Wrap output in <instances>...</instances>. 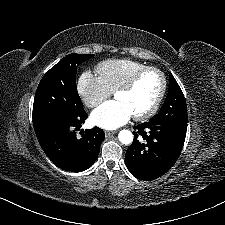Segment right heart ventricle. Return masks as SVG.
Segmentation results:
<instances>
[{
	"mask_svg": "<svg viewBox=\"0 0 225 225\" xmlns=\"http://www.w3.org/2000/svg\"><path fill=\"white\" fill-rule=\"evenodd\" d=\"M146 65L130 59H108L101 62L97 69L100 78L110 92H115L130 77Z\"/></svg>",
	"mask_w": 225,
	"mask_h": 225,
	"instance_id": "right-heart-ventricle-1",
	"label": "right heart ventricle"
}]
</instances>
